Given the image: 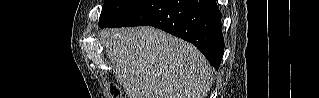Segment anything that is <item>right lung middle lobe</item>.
I'll list each match as a JSON object with an SVG mask.
<instances>
[{
    "mask_svg": "<svg viewBox=\"0 0 319 98\" xmlns=\"http://www.w3.org/2000/svg\"><path fill=\"white\" fill-rule=\"evenodd\" d=\"M146 1L147 0H104L99 26L103 28L113 24Z\"/></svg>",
    "mask_w": 319,
    "mask_h": 98,
    "instance_id": "dd1d6c3e",
    "label": "right lung middle lobe"
}]
</instances>
